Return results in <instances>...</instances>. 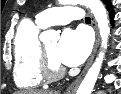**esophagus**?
Instances as JSON below:
<instances>
[{
	"label": "esophagus",
	"instance_id": "1",
	"mask_svg": "<svg viewBox=\"0 0 121 94\" xmlns=\"http://www.w3.org/2000/svg\"><path fill=\"white\" fill-rule=\"evenodd\" d=\"M92 25H93V28L95 30V34H96V40H95V44H94V48H93V51L87 61V64L85 66V68L83 69V71L81 72V74L70 84V86L66 89V94H75V92L77 91L78 89V86L82 80V78L84 77V75L86 74L88 68L90 67L94 57H95V54L97 52V48H98V45H99V34H98V29H97V25H96V22L94 21V19L92 20Z\"/></svg>",
	"mask_w": 121,
	"mask_h": 94
}]
</instances>
